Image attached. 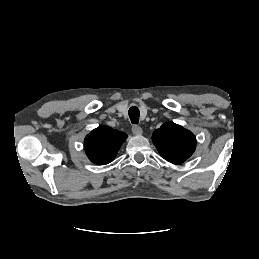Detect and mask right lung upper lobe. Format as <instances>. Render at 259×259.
I'll return each mask as SVG.
<instances>
[{
    "label": "right lung upper lobe",
    "mask_w": 259,
    "mask_h": 259,
    "mask_svg": "<svg viewBox=\"0 0 259 259\" xmlns=\"http://www.w3.org/2000/svg\"><path fill=\"white\" fill-rule=\"evenodd\" d=\"M127 135L108 126H100L86 136L84 148L95 164L105 165L113 161Z\"/></svg>",
    "instance_id": "cb5924a9"
}]
</instances>
